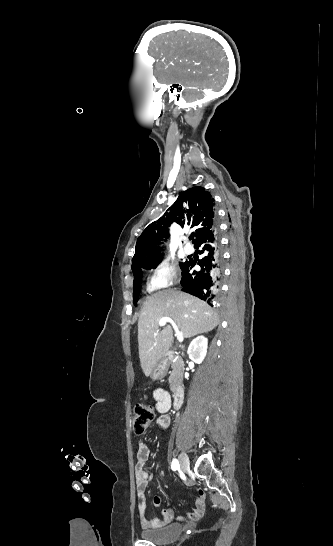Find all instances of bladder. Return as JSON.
Returning a JSON list of instances; mask_svg holds the SVG:
<instances>
[{
	"mask_svg": "<svg viewBox=\"0 0 333 546\" xmlns=\"http://www.w3.org/2000/svg\"><path fill=\"white\" fill-rule=\"evenodd\" d=\"M183 528L179 523H170L161 528L144 529L140 532L142 539L156 544H165L175 540L182 533Z\"/></svg>",
	"mask_w": 333,
	"mask_h": 546,
	"instance_id": "31cf9c89",
	"label": "bladder"
}]
</instances>
